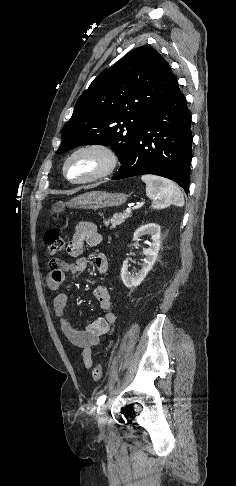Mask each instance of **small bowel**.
Returning a JSON list of instances; mask_svg holds the SVG:
<instances>
[{
	"label": "small bowel",
	"instance_id": "small-bowel-1",
	"mask_svg": "<svg viewBox=\"0 0 236 486\" xmlns=\"http://www.w3.org/2000/svg\"><path fill=\"white\" fill-rule=\"evenodd\" d=\"M102 241L96 226L91 222H81L75 227L72 240L67 245V253L74 257L73 262H66L61 259H52L49 262V272L46 277L47 287L57 291L64 285L66 273L80 274L87 268V260L81 257L85 245L95 247ZM95 266L100 274H105L109 269L108 258L105 254L99 253L95 256ZM93 296L99 302L105 316L90 322L85 329L76 328L67 316L68 296L65 293H58L53 298V309L58 319L59 326L68 340L81 350V359L86 368L93 366L92 350L96 347L101 338L110 334L116 324L117 317L113 311V305L109 290L105 286H98L93 290Z\"/></svg>",
	"mask_w": 236,
	"mask_h": 486
}]
</instances>
